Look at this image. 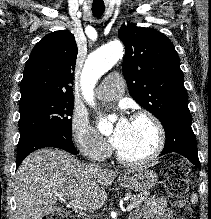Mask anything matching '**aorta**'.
Instances as JSON below:
<instances>
[{
	"instance_id": "762f6f07",
	"label": "aorta",
	"mask_w": 211,
	"mask_h": 219,
	"mask_svg": "<svg viewBox=\"0 0 211 219\" xmlns=\"http://www.w3.org/2000/svg\"><path fill=\"white\" fill-rule=\"evenodd\" d=\"M123 54L122 44L114 41L98 48L89 55L81 75L82 90L88 100L91 101L97 80L111 69ZM99 130L102 134L109 135L112 132V124L103 120L99 124Z\"/></svg>"
}]
</instances>
